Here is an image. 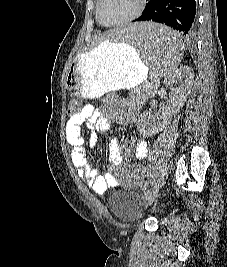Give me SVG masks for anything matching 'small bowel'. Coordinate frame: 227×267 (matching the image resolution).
Instances as JSON below:
<instances>
[{
	"mask_svg": "<svg viewBox=\"0 0 227 267\" xmlns=\"http://www.w3.org/2000/svg\"><path fill=\"white\" fill-rule=\"evenodd\" d=\"M116 111H107L93 105H86L82 108L80 115H71L65 126L67 142L72 146L71 159L79 177L86 182L96 193H104L107 189L118 185L119 179L112 172L104 175L92 167L86 157L85 138L81 129L89 131V144L94 146L98 142V136L110 129L112 119L122 123H135L138 119L140 104L128 98L120 99ZM124 147L137 160H144L148 157L149 149L147 142L140 137L129 138ZM110 160L114 165L123 162L121 145L117 140H112L108 146Z\"/></svg>",
	"mask_w": 227,
	"mask_h": 267,
	"instance_id": "small-bowel-1",
	"label": "small bowel"
}]
</instances>
